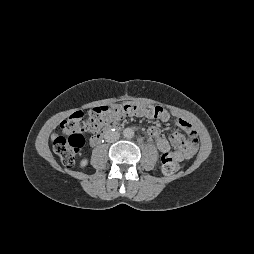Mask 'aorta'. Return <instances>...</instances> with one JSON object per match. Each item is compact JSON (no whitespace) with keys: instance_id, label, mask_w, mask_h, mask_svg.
<instances>
[{"instance_id":"obj_1","label":"aorta","mask_w":254,"mask_h":254,"mask_svg":"<svg viewBox=\"0 0 254 254\" xmlns=\"http://www.w3.org/2000/svg\"><path fill=\"white\" fill-rule=\"evenodd\" d=\"M123 136L127 139H131L134 137V130L132 128H125L123 130Z\"/></svg>"}]
</instances>
